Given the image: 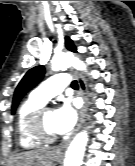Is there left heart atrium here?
Masks as SVG:
<instances>
[{
	"instance_id": "39dd6f15",
	"label": "left heart atrium",
	"mask_w": 135,
	"mask_h": 166,
	"mask_svg": "<svg viewBox=\"0 0 135 166\" xmlns=\"http://www.w3.org/2000/svg\"><path fill=\"white\" fill-rule=\"evenodd\" d=\"M77 121V111L70 102H64L55 112L53 117V128L56 134L69 133Z\"/></svg>"
}]
</instances>
